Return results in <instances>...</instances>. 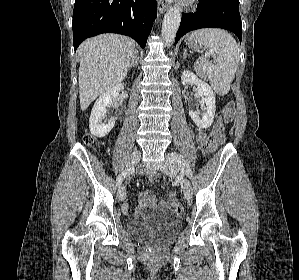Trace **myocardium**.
<instances>
[{"instance_id":"f54148a6","label":"myocardium","mask_w":299,"mask_h":280,"mask_svg":"<svg viewBox=\"0 0 299 280\" xmlns=\"http://www.w3.org/2000/svg\"><path fill=\"white\" fill-rule=\"evenodd\" d=\"M197 0H181L183 6H192Z\"/></svg>"}]
</instances>
